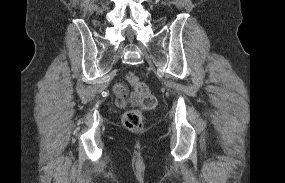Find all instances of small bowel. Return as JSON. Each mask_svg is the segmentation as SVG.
Here are the masks:
<instances>
[{"mask_svg":"<svg viewBox=\"0 0 285 183\" xmlns=\"http://www.w3.org/2000/svg\"><path fill=\"white\" fill-rule=\"evenodd\" d=\"M113 93L116 96V104L119 107H126L132 103V99L128 96V89L124 82H116L113 86Z\"/></svg>","mask_w":285,"mask_h":183,"instance_id":"obj_1","label":"small bowel"}]
</instances>
